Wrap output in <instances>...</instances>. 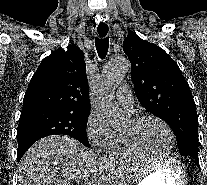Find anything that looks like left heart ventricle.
Segmentation results:
<instances>
[{
	"label": "left heart ventricle",
	"mask_w": 207,
	"mask_h": 185,
	"mask_svg": "<svg viewBox=\"0 0 207 185\" xmlns=\"http://www.w3.org/2000/svg\"><path fill=\"white\" fill-rule=\"evenodd\" d=\"M124 132L134 136L136 142L149 154L165 155L170 148V138L166 129L155 120H148L135 125L131 120Z\"/></svg>",
	"instance_id": "b2bd125f"
}]
</instances>
